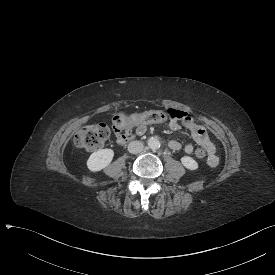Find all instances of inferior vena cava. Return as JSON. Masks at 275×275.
<instances>
[{
	"instance_id": "1",
	"label": "inferior vena cava",
	"mask_w": 275,
	"mask_h": 275,
	"mask_svg": "<svg viewBox=\"0 0 275 275\" xmlns=\"http://www.w3.org/2000/svg\"><path fill=\"white\" fill-rule=\"evenodd\" d=\"M144 149V145L141 141H132L128 145V151L132 154H138L142 152Z\"/></svg>"
}]
</instances>
